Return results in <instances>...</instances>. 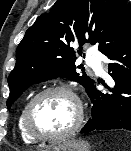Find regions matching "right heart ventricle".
Masks as SVG:
<instances>
[{"label": "right heart ventricle", "instance_id": "e07e8e85", "mask_svg": "<svg viewBox=\"0 0 131 151\" xmlns=\"http://www.w3.org/2000/svg\"><path fill=\"white\" fill-rule=\"evenodd\" d=\"M25 106L21 109L18 117V131L20 134L21 139L23 140L24 143L26 144H32L35 141H33L25 132L23 128V122H22V117H23V112H24Z\"/></svg>", "mask_w": 131, "mask_h": 151}]
</instances>
